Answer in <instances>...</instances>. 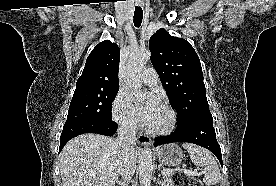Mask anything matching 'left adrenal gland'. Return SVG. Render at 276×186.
Wrapping results in <instances>:
<instances>
[{
    "instance_id": "left-adrenal-gland-1",
    "label": "left adrenal gland",
    "mask_w": 276,
    "mask_h": 186,
    "mask_svg": "<svg viewBox=\"0 0 276 186\" xmlns=\"http://www.w3.org/2000/svg\"><path fill=\"white\" fill-rule=\"evenodd\" d=\"M161 178V174L158 175V178H157V183L161 186H165V183L163 180L160 179Z\"/></svg>"
}]
</instances>
